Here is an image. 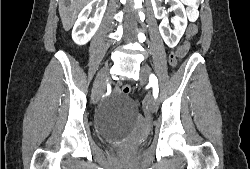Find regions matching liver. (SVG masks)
I'll return each instance as SVG.
<instances>
[{"mask_svg":"<svg viewBox=\"0 0 250 169\" xmlns=\"http://www.w3.org/2000/svg\"><path fill=\"white\" fill-rule=\"evenodd\" d=\"M90 0H59V14L61 16L63 28L70 30L73 26L79 10Z\"/></svg>","mask_w":250,"mask_h":169,"instance_id":"obj_1","label":"liver"}]
</instances>
